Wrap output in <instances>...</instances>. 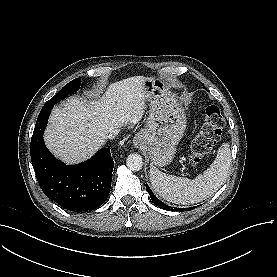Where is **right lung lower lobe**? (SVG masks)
<instances>
[{"label":"right lung lower lobe","mask_w":277,"mask_h":277,"mask_svg":"<svg viewBox=\"0 0 277 277\" xmlns=\"http://www.w3.org/2000/svg\"><path fill=\"white\" fill-rule=\"evenodd\" d=\"M53 106L42 108L31 139V161L36 178L42 191L62 207L71 211H92L109 196L114 168L110 148L101 149L78 165H65L55 159L43 141Z\"/></svg>","instance_id":"1"}]
</instances>
